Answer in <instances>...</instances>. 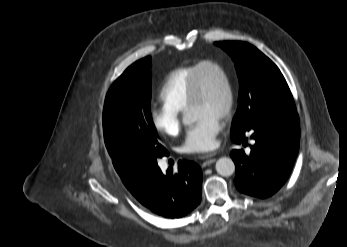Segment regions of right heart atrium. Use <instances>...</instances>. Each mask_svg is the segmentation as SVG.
<instances>
[{
  "label": "right heart atrium",
  "mask_w": 347,
  "mask_h": 247,
  "mask_svg": "<svg viewBox=\"0 0 347 247\" xmlns=\"http://www.w3.org/2000/svg\"><path fill=\"white\" fill-rule=\"evenodd\" d=\"M150 119L153 127L164 135L176 136L180 131V112L165 105L152 107Z\"/></svg>",
  "instance_id": "obj_1"
}]
</instances>
